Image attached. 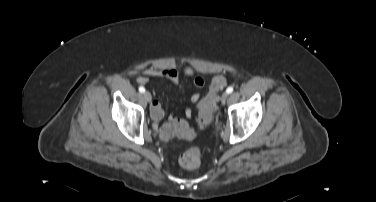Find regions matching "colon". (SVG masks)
Wrapping results in <instances>:
<instances>
[{"label":"colon","mask_w":376,"mask_h":202,"mask_svg":"<svg viewBox=\"0 0 376 202\" xmlns=\"http://www.w3.org/2000/svg\"><path fill=\"white\" fill-rule=\"evenodd\" d=\"M227 79L224 76H216L212 79L207 95L202 99L197 107L198 125L200 128L207 127L218 102V93L226 86ZM160 134L162 138L169 140L176 136H187L189 129L185 122L169 123L164 125ZM200 151L193 147L187 150L180 158V163L188 169L197 168L200 164Z\"/></svg>","instance_id":"colon-1"}]
</instances>
